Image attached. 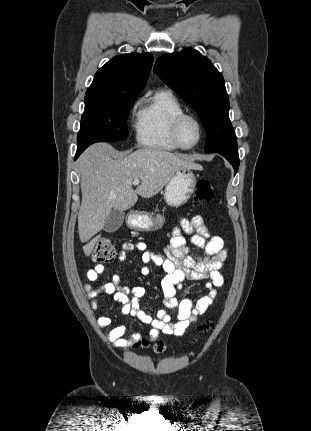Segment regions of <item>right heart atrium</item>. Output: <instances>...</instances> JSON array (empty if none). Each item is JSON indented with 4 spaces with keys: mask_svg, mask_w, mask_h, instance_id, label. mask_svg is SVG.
Wrapping results in <instances>:
<instances>
[{
    "mask_svg": "<svg viewBox=\"0 0 311 431\" xmlns=\"http://www.w3.org/2000/svg\"><path fill=\"white\" fill-rule=\"evenodd\" d=\"M139 103H140V99L136 100V101L133 103L132 109H133V110H134V109H136V107L139 105Z\"/></svg>",
    "mask_w": 311,
    "mask_h": 431,
    "instance_id": "1",
    "label": "right heart atrium"
}]
</instances>
